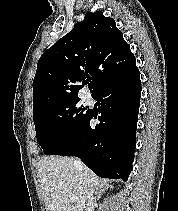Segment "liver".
Segmentation results:
<instances>
[{"label":"liver","instance_id":"1","mask_svg":"<svg viewBox=\"0 0 178 211\" xmlns=\"http://www.w3.org/2000/svg\"><path fill=\"white\" fill-rule=\"evenodd\" d=\"M71 157L49 156L38 162V177L46 211H85L87 193L106 183L90 169L79 170ZM75 196L76 200H70Z\"/></svg>","mask_w":178,"mask_h":211}]
</instances>
